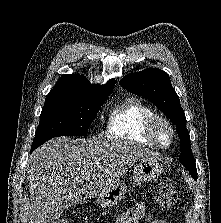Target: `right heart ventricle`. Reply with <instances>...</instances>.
<instances>
[{"label": "right heart ventricle", "mask_w": 221, "mask_h": 223, "mask_svg": "<svg viewBox=\"0 0 221 223\" xmlns=\"http://www.w3.org/2000/svg\"><path fill=\"white\" fill-rule=\"evenodd\" d=\"M153 114V109L140 98L128 97L110 110L105 136L114 141L135 142L154 147L144 135L145 124Z\"/></svg>", "instance_id": "1"}]
</instances>
